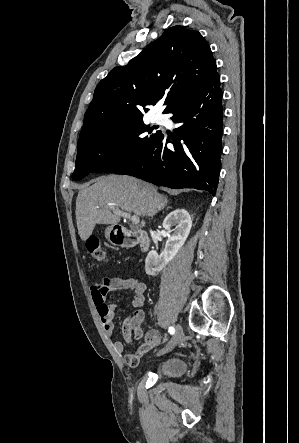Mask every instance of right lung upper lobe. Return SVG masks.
<instances>
[{"instance_id": "1", "label": "right lung upper lobe", "mask_w": 299, "mask_h": 443, "mask_svg": "<svg viewBox=\"0 0 299 443\" xmlns=\"http://www.w3.org/2000/svg\"><path fill=\"white\" fill-rule=\"evenodd\" d=\"M211 49L198 31L168 28L125 66L115 67L97 85L80 137L106 125L143 118L148 106L166 97L167 113L215 75Z\"/></svg>"}]
</instances>
